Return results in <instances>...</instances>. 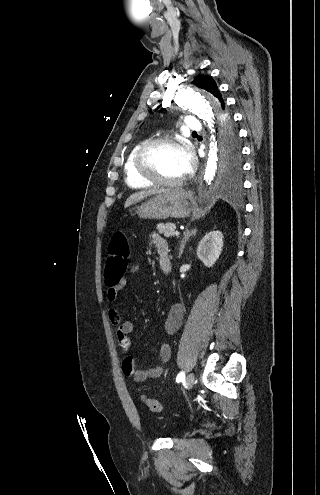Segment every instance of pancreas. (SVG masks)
<instances>
[{"mask_svg": "<svg viewBox=\"0 0 320 495\" xmlns=\"http://www.w3.org/2000/svg\"><path fill=\"white\" fill-rule=\"evenodd\" d=\"M160 234H163L165 237H173L175 233L176 226L174 223L168 222L166 224L159 223L156 227Z\"/></svg>", "mask_w": 320, "mask_h": 495, "instance_id": "obj_1", "label": "pancreas"}]
</instances>
